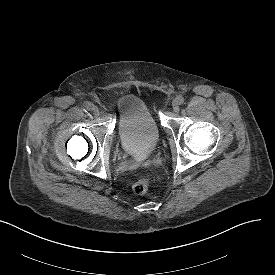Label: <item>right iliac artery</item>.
Instances as JSON below:
<instances>
[{
    "label": "right iliac artery",
    "instance_id": "82829eb1",
    "mask_svg": "<svg viewBox=\"0 0 275 275\" xmlns=\"http://www.w3.org/2000/svg\"><path fill=\"white\" fill-rule=\"evenodd\" d=\"M93 104L91 102L86 103L85 108L90 111L92 110Z\"/></svg>",
    "mask_w": 275,
    "mask_h": 275
}]
</instances>
